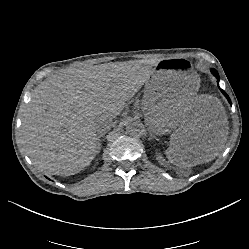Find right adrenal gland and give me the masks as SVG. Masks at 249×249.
<instances>
[{
    "label": "right adrenal gland",
    "mask_w": 249,
    "mask_h": 249,
    "mask_svg": "<svg viewBox=\"0 0 249 249\" xmlns=\"http://www.w3.org/2000/svg\"><path fill=\"white\" fill-rule=\"evenodd\" d=\"M105 135V132H99L98 134V139H99V142H100V138L103 137Z\"/></svg>",
    "instance_id": "right-adrenal-gland-1"
}]
</instances>
